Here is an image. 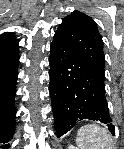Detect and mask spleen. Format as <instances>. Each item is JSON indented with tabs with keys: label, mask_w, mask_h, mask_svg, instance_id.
Segmentation results:
<instances>
[{
	"label": "spleen",
	"mask_w": 124,
	"mask_h": 149,
	"mask_svg": "<svg viewBox=\"0 0 124 149\" xmlns=\"http://www.w3.org/2000/svg\"><path fill=\"white\" fill-rule=\"evenodd\" d=\"M77 145L80 149H111L110 136L97 125H86L78 131Z\"/></svg>",
	"instance_id": "spleen-1"
}]
</instances>
